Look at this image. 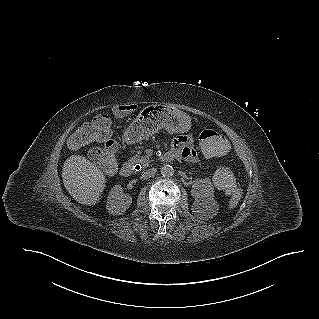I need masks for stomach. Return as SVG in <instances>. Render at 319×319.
Instances as JSON below:
<instances>
[{
    "label": "stomach",
    "mask_w": 319,
    "mask_h": 319,
    "mask_svg": "<svg viewBox=\"0 0 319 319\" xmlns=\"http://www.w3.org/2000/svg\"><path fill=\"white\" fill-rule=\"evenodd\" d=\"M191 126V118L185 112L171 105H155L144 108L129 123L127 135L130 140L141 142L162 128L169 133H186Z\"/></svg>",
    "instance_id": "1"
}]
</instances>
